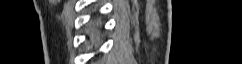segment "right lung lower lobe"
I'll return each instance as SVG.
<instances>
[{
  "label": "right lung lower lobe",
  "mask_w": 242,
  "mask_h": 64,
  "mask_svg": "<svg viewBox=\"0 0 242 64\" xmlns=\"http://www.w3.org/2000/svg\"><path fill=\"white\" fill-rule=\"evenodd\" d=\"M92 30H93V32H95V29H94V27H93V29H92Z\"/></svg>",
  "instance_id": "98d812e1"
}]
</instances>
